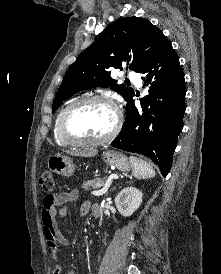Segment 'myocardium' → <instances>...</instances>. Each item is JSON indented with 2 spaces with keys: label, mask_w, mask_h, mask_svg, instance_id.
<instances>
[{
  "label": "myocardium",
  "mask_w": 221,
  "mask_h": 274,
  "mask_svg": "<svg viewBox=\"0 0 221 274\" xmlns=\"http://www.w3.org/2000/svg\"><path fill=\"white\" fill-rule=\"evenodd\" d=\"M88 103H104L109 105L115 114V121L112 129L103 137L99 138H82L71 134L68 129V117L70 113L78 106ZM122 125V112L118 104L109 97L103 95L85 96L70 102L62 111L59 119V133L61 137L71 145H97L107 143L112 140L119 132Z\"/></svg>",
  "instance_id": "myocardium-1"
}]
</instances>
